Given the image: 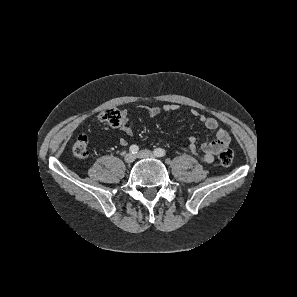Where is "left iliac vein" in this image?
Listing matches in <instances>:
<instances>
[{"instance_id":"left-iliac-vein-1","label":"left iliac vein","mask_w":297,"mask_h":297,"mask_svg":"<svg viewBox=\"0 0 297 297\" xmlns=\"http://www.w3.org/2000/svg\"><path fill=\"white\" fill-rule=\"evenodd\" d=\"M156 155L153 154L150 150H141L138 154V158H149V157H155Z\"/></svg>"}]
</instances>
